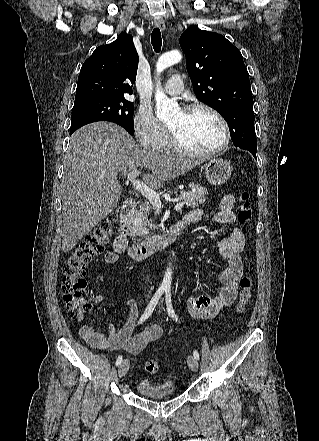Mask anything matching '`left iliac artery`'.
Segmentation results:
<instances>
[{"mask_svg": "<svg viewBox=\"0 0 319 441\" xmlns=\"http://www.w3.org/2000/svg\"><path fill=\"white\" fill-rule=\"evenodd\" d=\"M166 306H167V311H168L169 316H170L172 319H174L175 321H178V322H179L178 317L176 316V314H175V312H174V309H173V307H172L170 290H167V291H166ZM193 356L195 357V359L198 360V359H199V353H198V351L194 350V352H193Z\"/></svg>", "mask_w": 319, "mask_h": 441, "instance_id": "obj_1", "label": "left iliac artery"}]
</instances>
